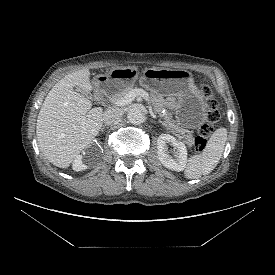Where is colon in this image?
<instances>
[{"label":"colon","instance_id":"obj_1","mask_svg":"<svg viewBox=\"0 0 275 275\" xmlns=\"http://www.w3.org/2000/svg\"><path fill=\"white\" fill-rule=\"evenodd\" d=\"M201 95L206 104L205 120L195 138L194 147L197 152H202L207 144V138L214 130L219 120L218 103L213 97L211 88L208 85L201 86Z\"/></svg>","mask_w":275,"mask_h":275}]
</instances>
